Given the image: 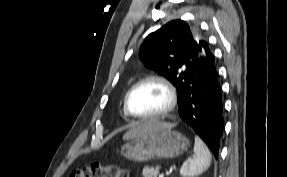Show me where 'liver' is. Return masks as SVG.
I'll use <instances>...</instances> for the list:
<instances>
[{
  "mask_svg": "<svg viewBox=\"0 0 287 177\" xmlns=\"http://www.w3.org/2000/svg\"><path fill=\"white\" fill-rule=\"evenodd\" d=\"M174 124L160 122L157 119L142 121L123 136L124 140L162 129H171Z\"/></svg>",
  "mask_w": 287,
  "mask_h": 177,
  "instance_id": "1",
  "label": "liver"
}]
</instances>
